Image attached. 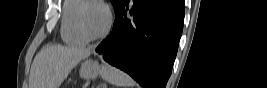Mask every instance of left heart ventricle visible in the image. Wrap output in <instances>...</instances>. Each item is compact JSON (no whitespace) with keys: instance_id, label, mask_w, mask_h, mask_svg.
<instances>
[{"instance_id":"b2bd125f","label":"left heart ventricle","mask_w":267,"mask_h":88,"mask_svg":"<svg viewBox=\"0 0 267 88\" xmlns=\"http://www.w3.org/2000/svg\"><path fill=\"white\" fill-rule=\"evenodd\" d=\"M82 19L85 29L91 35L101 33L107 23L106 12L97 5H88L83 10Z\"/></svg>"}]
</instances>
